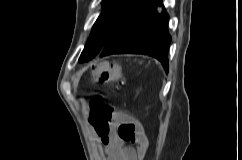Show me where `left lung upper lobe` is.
I'll return each mask as SVG.
<instances>
[{"instance_id": "obj_1", "label": "left lung upper lobe", "mask_w": 242, "mask_h": 160, "mask_svg": "<svg viewBox=\"0 0 242 160\" xmlns=\"http://www.w3.org/2000/svg\"><path fill=\"white\" fill-rule=\"evenodd\" d=\"M156 0H103V12L96 20L79 62H86Z\"/></svg>"}]
</instances>
